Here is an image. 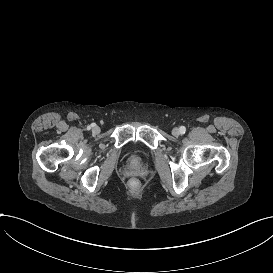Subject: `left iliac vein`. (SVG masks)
Returning a JSON list of instances; mask_svg holds the SVG:
<instances>
[{
    "label": "left iliac vein",
    "instance_id": "obj_1",
    "mask_svg": "<svg viewBox=\"0 0 273 273\" xmlns=\"http://www.w3.org/2000/svg\"><path fill=\"white\" fill-rule=\"evenodd\" d=\"M172 134L177 137V136H179L181 134V131H180L179 128H174L172 130Z\"/></svg>",
    "mask_w": 273,
    "mask_h": 273
}]
</instances>
